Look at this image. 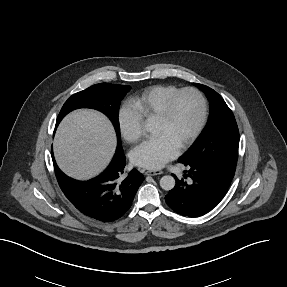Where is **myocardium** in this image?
Returning <instances> with one entry per match:
<instances>
[{"instance_id": "1", "label": "myocardium", "mask_w": 287, "mask_h": 287, "mask_svg": "<svg viewBox=\"0 0 287 287\" xmlns=\"http://www.w3.org/2000/svg\"><path fill=\"white\" fill-rule=\"evenodd\" d=\"M193 94L194 96H196L199 105H200V117H199V121L197 123V125L195 126V128L193 129V131L191 132V134L188 136V138L179 146V150L183 151L186 150L187 148H189L198 138V136L200 135V133L202 132V130L205 127L206 121H207V117H208V106H207V101L205 96L203 95V93L193 87H187V88H183L178 90L177 92H175L173 95H171L167 101L165 102L163 109L161 111V113L155 118L156 122H160V123H166L168 122V120L171 117L172 114V110H173V106L175 104V102L177 101V99L179 97H181L184 94Z\"/></svg>"}]
</instances>
